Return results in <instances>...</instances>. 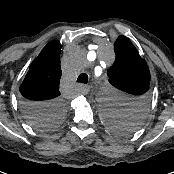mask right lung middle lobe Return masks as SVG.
<instances>
[{"mask_svg":"<svg viewBox=\"0 0 174 174\" xmlns=\"http://www.w3.org/2000/svg\"><path fill=\"white\" fill-rule=\"evenodd\" d=\"M64 111V104L62 102H56L46 108L28 111L25 114L33 127L37 129H51L61 123Z\"/></svg>","mask_w":174,"mask_h":174,"instance_id":"obj_1","label":"right lung middle lobe"}]
</instances>
